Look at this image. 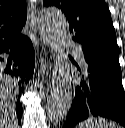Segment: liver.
<instances>
[{
	"instance_id": "1",
	"label": "liver",
	"mask_w": 125,
	"mask_h": 128,
	"mask_svg": "<svg viewBox=\"0 0 125 128\" xmlns=\"http://www.w3.org/2000/svg\"><path fill=\"white\" fill-rule=\"evenodd\" d=\"M13 85L0 77V128H18Z\"/></svg>"
}]
</instances>
